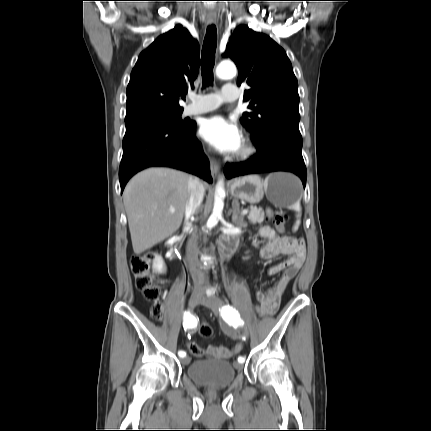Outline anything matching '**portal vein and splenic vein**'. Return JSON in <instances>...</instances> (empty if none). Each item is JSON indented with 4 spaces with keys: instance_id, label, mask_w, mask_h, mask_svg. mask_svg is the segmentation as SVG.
<instances>
[{
    "instance_id": "obj_1",
    "label": "portal vein and splenic vein",
    "mask_w": 431,
    "mask_h": 431,
    "mask_svg": "<svg viewBox=\"0 0 431 431\" xmlns=\"http://www.w3.org/2000/svg\"><path fill=\"white\" fill-rule=\"evenodd\" d=\"M170 212L171 213H174L175 212V209H173V208H170ZM248 213V210L247 209H244L243 211H242V215H246Z\"/></svg>"
}]
</instances>
